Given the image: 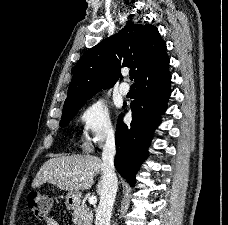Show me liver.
<instances>
[{
    "label": "liver",
    "instance_id": "6515ba94",
    "mask_svg": "<svg viewBox=\"0 0 228 225\" xmlns=\"http://www.w3.org/2000/svg\"><path fill=\"white\" fill-rule=\"evenodd\" d=\"M95 175H103V161L98 157H91V155L56 157L42 165L32 183V189L41 187L43 183H51L61 191L78 193L83 189H91ZM100 191L101 181H99L97 193Z\"/></svg>",
    "mask_w": 228,
    "mask_h": 225
}]
</instances>
